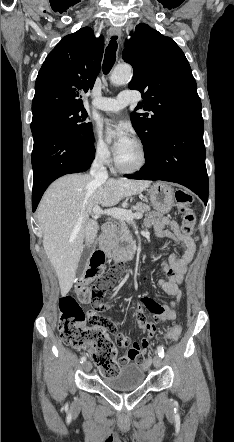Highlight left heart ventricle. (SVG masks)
<instances>
[{
    "label": "left heart ventricle",
    "mask_w": 234,
    "mask_h": 442,
    "mask_svg": "<svg viewBox=\"0 0 234 442\" xmlns=\"http://www.w3.org/2000/svg\"><path fill=\"white\" fill-rule=\"evenodd\" d=\"M119 163L124 167H132L139 162L140 154L137 146L133 143L127 150L117 156Z\"/></svg>",
    "instance_id": "left-heart-ventricle-1"
}]
</instances>
